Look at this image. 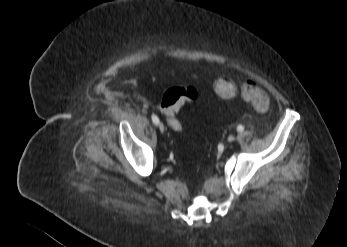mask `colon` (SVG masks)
<instances>
[{"instance_id": "1", "label": "colon", "mask_w": 347, "mask_h": 247, "mask_svg": "<svg viewBox=\"0 0 347 247\" xmlns=\"http://www.w3.org/2000/svg\"><path fill=\"white\" fill-rule=\"evenodd\" d=\"M214 90L222 100L231 99L236 93V85L229 75H222L214 83ZM241 94L249 101L258 112H265L269 108L267 93L253 82H246L241 86ZM198 98V93L193 87L172 86L168 88L161 101L162 112L168 119L173 132L181 134L183 125L178 118L182 107Z\"/></svg>"}]
</instances>
